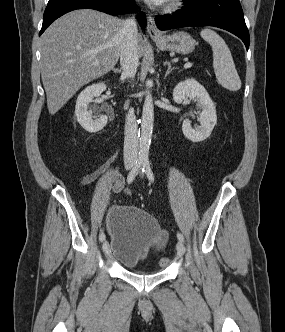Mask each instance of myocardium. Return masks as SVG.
<instances>
[{"label":"myocardium","instance_id":"1","mask_svg":"<svg viewBox=\"0 0 285 332\" xmlns=\"http://www.w3.org/2000/svg\"><path fill=\"white\" fill-rule=\"evenodd\" d=\"M183 0H168L165 6L166 12L177 10L182 5Z\"/></svg>","mask_w":285,"mask_h":332}]
</instances>
